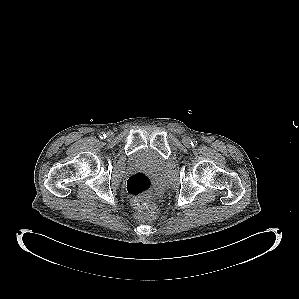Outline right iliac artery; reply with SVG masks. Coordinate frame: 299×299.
Segmentation results:
<instances>
[{
	"label": "right iliac artery",
	"mask_w": 299,
	"mask_h": 299,
	"mask_svg": "<svg viewBox=\"0 0 299 299\" xmlns=\"http://www.w3.org/2000/svg\"><path fill=\"white\" fill-rule=\"evenodd\" d=\"M100 138H101V139L106 138V134H105V133H101V134H100Z\"/></svg>",
	"instance_id": "right-iliac-artery-1"
}]
</instances>
